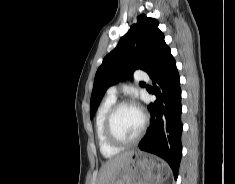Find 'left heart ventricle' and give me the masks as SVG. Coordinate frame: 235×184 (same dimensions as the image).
<instances>
[{"mask_svg":"<svg viewBox=\"0 0 235 184\" xmlns=\"http://www.w3.org/2000/svg\"><path fill=\"white\" fill-rule=\"evenodd\" d=\"M143 117L135 107L127 106L118 111L114 119L115 131L121 138L130 140L139 133Z\"/></svg>","mask_w":235,"mask_h":184,"instance_id":"left-heart-ventricle-1","label":"left heart ventricle"}]
</instances>
